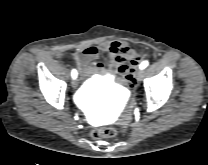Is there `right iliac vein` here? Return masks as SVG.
I'll return each instance as SVG.
<instances>
[{"mask_svg": "<svg viewBox=\"0 0 208 165\" xmlns=\"http://www.w3.org/2000/svg\"><path fill=\"white\" fill-rule=\"evenodd\" d=\"M71 85L74 89H76L77 85H78V82L76 79H73L72 82H71Z\"/></svg>", "mask_w": 208, "mask_h": 165, "instance_id": "right-iliac-vein-1", "label": "right iliac vein"}]
</instances>
